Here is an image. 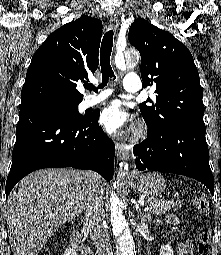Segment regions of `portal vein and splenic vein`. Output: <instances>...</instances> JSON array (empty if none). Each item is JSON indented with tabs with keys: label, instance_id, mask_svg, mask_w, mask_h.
<instances>
[{
	"label": "portal vein and splenic vein",
	"instance_id": "portal-vein-and-splenic-vein-1",
	"mask_svg": "<svg viewBox=\"0 0 221 255\" xmlns=\"http://www.w3.org/2000/svg\"><path fill=\"white\" fill-rule=\"evenodd\" d=\"M139 205H144L143 202H139V204H136V208H139ZM149 210V207L147 206L144 211L147 212Z\"/></svg>",
	"mask_w": 221,
	"mask_h": 255
}]
</instances>
